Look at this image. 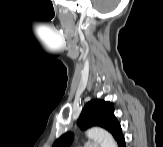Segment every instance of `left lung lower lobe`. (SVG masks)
<instances>
[{
	"instance_id": "0a47b994",
	"label": "left lung lower lobe",
	"mask_w": 163,
	"mask_h": 147,
	"mask_svg": "<svg viewBox=\"0 0 163 147\" xmlns=\"http://www.w3.org/2000/svg\"><path fill=\"white\" fill-rule=\"evenodd\" d=\"M117 141L118 147H125V139L122 132L115 139Z\"/></svg>"
}]
</instances>
